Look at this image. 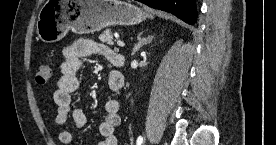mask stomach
Returning a JSON list of instances; mask_svg holds the SVG:
<instances>
[{
	"instance_id": "0dacf381",
	"label": "stomach",
	"mask_w": 276,
	"mask_h": 145,
	"mask_svg": "<svg viewBox=\"0 0 276 145\" xmlns=\"http://www.w3.org/2000/svg\"><path fill=\"white\" fill-rule=\"evenodd\" d=\"M152 15L121 0H47L37 21L38 38L60 41L69 30L88 34L112 25L138 24Z\"/></svg>"
}]
</instances>
